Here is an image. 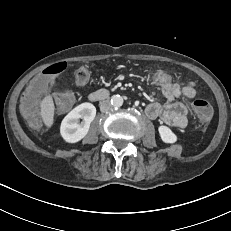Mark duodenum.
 I'll return each mask as SVG.
<instances>
[{"mask_svg":"<svg viewBox=\"0 0 231 231\" xmlns=\"http://www.w3.org/2000/svg\"><path fill=\"white\" fill-rule=\"evenodd\" d=\"M110 93L106 89L96 90L89 95V99L93 102L102 101L109 97Z\"/></svg>","mask_w":231,"mask_h":231,"instance_id":"duodenum-1","label":"duodenum"}]
</instances>
